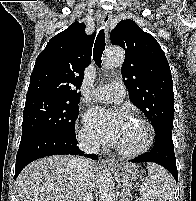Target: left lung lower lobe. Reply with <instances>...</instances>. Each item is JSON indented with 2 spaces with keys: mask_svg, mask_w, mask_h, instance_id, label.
<instances>
[{
  "mask_svg": "<svg viewBox=\"0 0 196 201\" xmlns=\"http://www.w3.org/2000/svg\"><path fill=\"white\" fill-rule=\"evenodd\" d=\"M131 162H154L166 168L178 181L176 158L172 141V131H165L155 135V144L151 152L140 155Z\"/></svg>",
  "mask_w": 196,
  "mask_h": 201,
  "instance_id": "obj_1",
  "label": "left lung lower lobe"
}]
</instances>
